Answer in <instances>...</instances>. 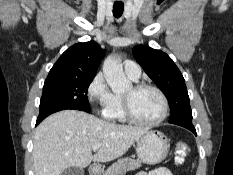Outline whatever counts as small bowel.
<instances>
[{"instance_id": "obj_1", "label": "small bowel", "mask_w": 233, "mask_h": 175, "mask_svg": "<svg viewBox=\"0 0 233 175\" xmlns=\"http://www.w3.org/2000/svg\"><path fill=\"white\" fill-rule=\"evenodd\" d=\"M136 175H172V173L168 168L159 167L151 171H140Z\"/></svg>"}]
</instances>
